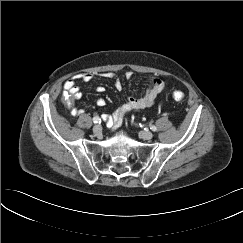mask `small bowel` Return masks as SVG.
<instances>
[{
  "label": "small bowel",
  "mask_w": 243,
  "mask_h": 243,
  "mask_svg": "<svg viewBox=\"0 0 243 243\" xmlns=\"http://www.w3.org/2000/svg\"><path fill=\"white\" fill-rule=\"evenodd\" d=\"M103 77L113 79L114 86L117 90L122 89L121 80L113 75L112 73H103ZM126 76L129 78L131 73L128 72ZM94 75L91 73H81L74 77H71L67 81L64 82L63 88L66 92V95L70 96L72 102L79 100L82 97V92L80 87L76 84L77 80H81L83 82H90L93 79ZM166 88V82L159 77H152L149 80L148 87L143 96L139 98L128 97L125 102L109 117L108 123L109 126L113 129L118 128L126 115L132 111H141L146 108L151 107L158 95ZM94 90L98 93H102L105 91L103 86H96ZM97 105L103 107L105 105V100L103 98H99L97 100ZM73 112L76 115H80L83 110L73 108Z\"/></svg>",
  "instance_id": "c3829d8e"
}]
</instances>
